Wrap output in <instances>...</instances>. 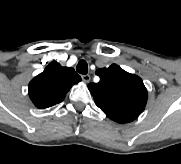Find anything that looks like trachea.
Wrapping results in <instances>:
<instances>
[{
  "label": "trachea",
  "instance_id": "trachea-1",
  "mask_svg": "<svg viewBox=\"0 0 181 164\" xmlns=\"http://www.w3.org/2000/svg\"><path fill=\"white\" fill-rule=\"evenodd\" d=\"M76 71L80 74L86 75L88 73V64L85 60H80L77 64Z\"/></svg>",
  "mask_w": 181,
  "mask_h": 164
}]
</instances>
